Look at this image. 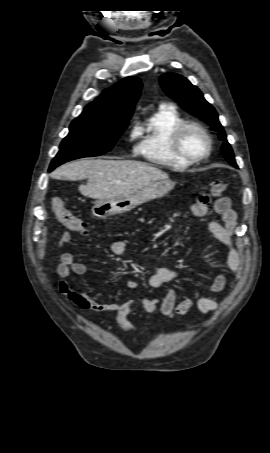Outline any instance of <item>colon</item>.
I'll use <instances>...</instances> for the list:
<instances>
[{
	"instance_id": "1",
	"label": "colon",
	"mask_w": 270,
	"mask_h": 453,
	"mask_svg": "<svg viewBox=\"0 0 270 453\" xmlns=\"http://www.w3.org/2000/svg\"><path fill=\"white\" fill-rule=\"evenodd\" d=\"M228 189L229 184L227 182L213 181L211 183V194L214 196H220L227 192ZM200 199L207 202L204 197ZM51 208L57 220L67 229L78 233L86 232V223L83 218L74 214L61 198L54 197L51 201Z\"/></svg>"
}]
</instances>
